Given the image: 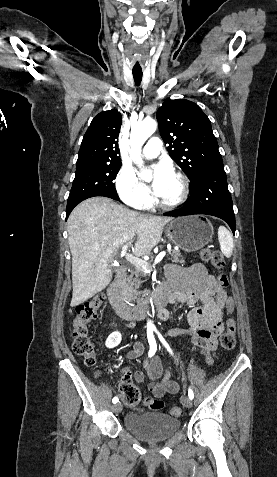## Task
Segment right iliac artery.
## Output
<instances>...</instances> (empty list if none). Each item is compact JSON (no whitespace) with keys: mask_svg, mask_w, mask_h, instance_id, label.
<instances>
[{"mask_svg":"<svg viewBox=\"0 0 277 477\" xmlns=\"http://www.w3.org/2000/svg\"><path fill=\"white\" fill-rule=\"evenodd\" d=\"M147 337H148V342H149V345H150V350H149L148 355H149V357H152V356L155 354L156 350H157V345H156V341H155L154 335H153V333H152L151 330H149V331L147 332ZM112 402H113V403H117V402H118V398H117V397H114V398L112 399Z\"/></svg>","mask_w":277,"mask_h":477,"instance_id":"right-iliac-artery-1","label":"right iliac artery"}]
</instances>
